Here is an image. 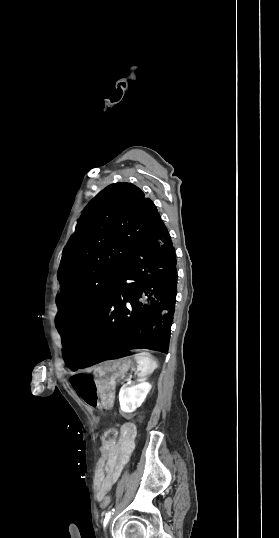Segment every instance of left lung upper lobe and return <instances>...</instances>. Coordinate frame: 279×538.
Returning <instances> with one entry per match:
<instances>
[{"instance_id": "obj_1", "label": "left lung upper lobe", "mask_w": 279, "mask_h": 538, "mask_svg": "<svg viewBox=\"0 0 279 538\" xmlns=\"http://www.w3.org/2000/svg\"><path fill=\"white\" fill-rule=\"evenodd\" d=\"M159 216L153 202L129 183L112 184L91 200L60 262L56 327L61 337L91 324Z\"/></svg>"}]
</instances>
